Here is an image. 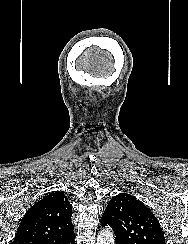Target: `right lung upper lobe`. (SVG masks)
I'll list each match as a JSON object with an SVG mask.
<instances>
[{
  "label": "right lung upper lobe",
  "mask_w": 188,
  "mask_h": 244,
  "mask_svg": "<svg viewBox=\"0 0 188 244\" xmlns=\"http://www.w3.org/2000/svg\"><path fill=\"white\" fill-rule=\"evenodd\" d=\"M71 216L72 207L65 195H46L26 212L13 244H66L75 237Z\"/></svg>",
  "instance_id": "cb5924a9"
}]
</instances>
